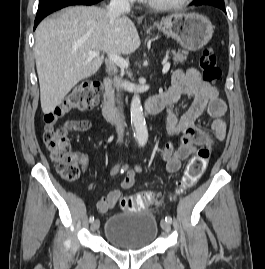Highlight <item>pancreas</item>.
Listing matches in <instances>:
<instances>
[{"label": "pancreas", "mask_w": 265, "mask_h": 269, "mask_svg": "<svg viewBox=\"0 0 265 269\" xmlns=\"http://www.w3.org/2000/svg\"><path fill=\"white\" fill-rule=\"evenodd\" d=\"M188 55L187 51L184 50H179L177 53L173 52V63L174 65L178 64V63H182L183 61L186 60Z\"/></svg>", "instance_id": "obj_1"}]
</instances>
